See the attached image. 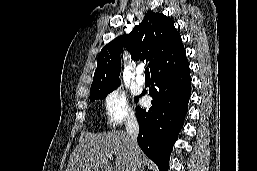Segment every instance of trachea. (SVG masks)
I'll use <instances>...</instances> for the list:
<instances>
[{"instance_id":"3493384b","label":"trachea","mask_w":257,"mask_h":171,"mask_svg":"<svg viewBox=\"0 0 257 171\" xmlns=\"http://www.w3.org/2000/svg\"><path fill=\"white\" fill-rule=\"evenodd\" d=\"M145 77H150L149 68L148 67L145 68Z\"/></svg>"}]
</instances>
